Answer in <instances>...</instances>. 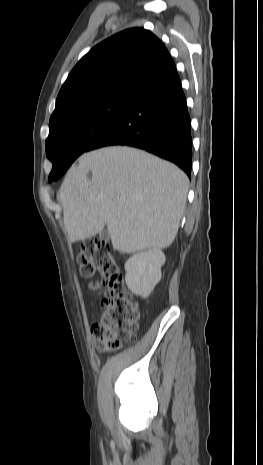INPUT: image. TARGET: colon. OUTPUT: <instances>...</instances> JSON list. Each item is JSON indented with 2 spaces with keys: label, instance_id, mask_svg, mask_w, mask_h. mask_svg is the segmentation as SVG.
Instances as JSON below:
<instances>
[{
  "label": "colon",
  "instance_id": "colon-1",
  "mask_svg": "<svg viewBox=\"0 0 263 465\" xmlns=\"http://www.w3.org/2000/svg\"><path fill=\"white\" fill-rule=\"evenodd\" d=\"M78 261L80 272L84 277H93L98 272L107 288L102 301V316L92 326L96 346L102 352L116 350L121 341L132 340L138 330V307L129 298L123 286L119 265L105 241L99 239L84 241ZM91 287L97 288L98 283L92 282Z\"/></svg>",
  "mask_w": 263,
  "mask_h": 465
}]
</instances>
